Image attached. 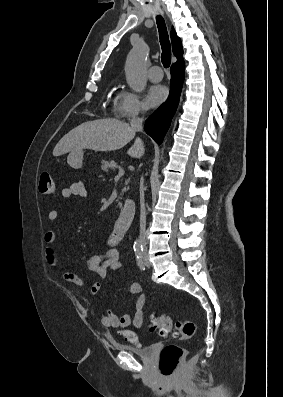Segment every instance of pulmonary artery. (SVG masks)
<instances>
[{"label": "pulmonary artery", "instance_id": "obj_1", "mask_svg": "<svg viewBox=\"0 0 283 397\" xmlns=\"http://www.w3.org/2000/svg\"><path fill=\"white\" fill-rule=\"evenodd\" d=\"M148 77L152 82L161 81L163 77L162 69L157 65L152 66L148 71Z\"/></svg>", "mask_w": 283, "mask_h": 397}]
</instances>
